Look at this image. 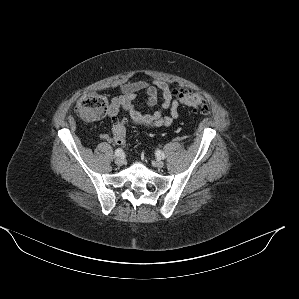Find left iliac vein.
<instances>
[{
    "instance_id": "1",
    "label": "left iliac vein",
    "mask_w": 299,
    "mask_h": 299,
    "mask_svg": "<svg viewBox=\"0 0 299 299\" xmlns=\"http://www.w3.org/2000/svg\"><path fill=\"white\" fill-rule=\"evenodd\" d=\"M153 164H154V166L157 167V168H163V167H164V162L161 161V160H154V161H153Z\"/></svg>"
}]
</instances>
